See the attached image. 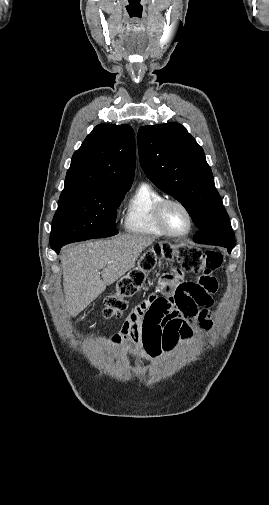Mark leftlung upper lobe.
<instances>
[{
	"instance_id": "5c2ea615",
	"label": "left lung upper lobe",
	"mask_w": 269,
	"mask_h": 505,
	"mask_svg": "<svg viewBox=\"0 0 269 505\" xmlns=\"http://www.w3.org/2000/svg\"><path fill=\"white\" fill-rule=\"evenodd\" d=\"M138 150L148 178L191 215L199 229L194 241L234 247V233L204 151L187 130L178 123L142 126Z\"/></svg>"
}]
</instances>
